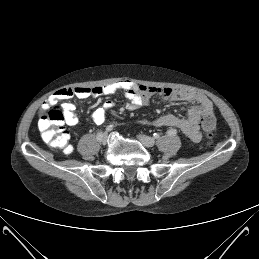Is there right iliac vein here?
I'll list each match as a JSON object with an SVG mask.
<instances>
[{"label":"right iliac vein","instance_id":"right-iliac-vein-1","mask_svg":"<svg viewBox=\"0 0 259 259\" xmlns=\"http://www.w3.org/2000/svg\"><path fill=\"white\" fill-rule=\"evenodd\" d=\"M109 137L107 133L102 134L99 142L103 145H106L108 143Z\"/></svg>","mask_w":259,"mask_h":259}]
</instances>
